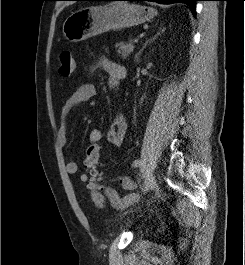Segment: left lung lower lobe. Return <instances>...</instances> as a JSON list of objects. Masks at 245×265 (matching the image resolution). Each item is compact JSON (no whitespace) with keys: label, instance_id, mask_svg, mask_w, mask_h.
I'll return each instance as SVG.
<instances>
[{"label":"left lung lower lobe","instance_id":"0a47b994","mask_svg":"<svg viewBox=\"0 0 245 265\" xmlns=\"http://www.w3.org/2000/svg\"><path fill=\"white\" fill-rule=\"evenodd\" d=\"M89 1H117V0H89ZM120 1H153L160 4L185 3L190 7L193 14H195L196 12L195 2L199 0H120Z\"/></svg>","mask_w":245,"mask_h":265}]
</instances>
